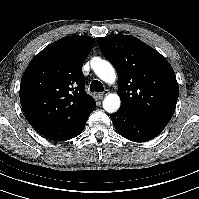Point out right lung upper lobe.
Here are the masks:
<instances>
[{
  "label": "right lung upper lobe",
  "mask_w": 199,
  "mask_h": 199,
  "mask_svg": "<svg viewBox=\"0 0 199 199\" xmlns=\"http://www.w3.org/2000/svg\"><path fill=\"white\" fill-rule=\"evenodd\" d=\"M95 38L68 36L38 53L26 68L20 102L31 126L59 140L86 123L96 102L85 90L82 65Z\"/></svg>",
  "instance_id": "cb5924a9"
}]
</instances>
